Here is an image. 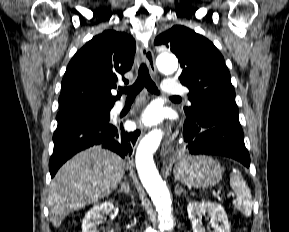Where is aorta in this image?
Returning a JSON list of instances; mask_svg holds the SVG:
<instances>
[{
	"mask_svg": "<svg viewBox=\"0 0 289 232\" xmlns=\"http://www.w3.org/2000/svg\"><path fill=\"white\" fill-rule=\"evenodd\" d=\"M157 66L162 73L172 74L177 70L178 62L174 56L162 55L158 59ZM162 135L161 130H153L148 133L140 141L135 158L141 183L158 212L161 232L171 231L174 228L170 194L153 161V153L159 147Z\"/></svg>",
	"mask_w": 289,
	"mask_h": 232,
	"instance_id": "obj_1",
	"label": "aorta"
}]
</instances>
